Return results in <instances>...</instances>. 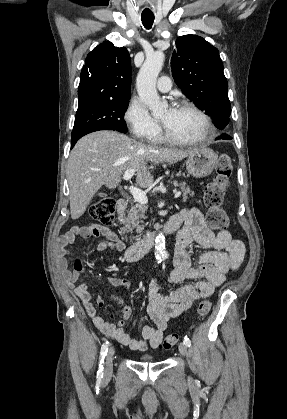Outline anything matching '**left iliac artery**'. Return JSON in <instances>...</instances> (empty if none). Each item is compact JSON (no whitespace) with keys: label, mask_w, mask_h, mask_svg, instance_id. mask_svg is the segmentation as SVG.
<instances>
[{"label":"left iliac artery","mask_w":287,"mask_h":419,"mask_svg":"<svg viewBox=\"0 0 287 419\" xmlns=\"http://www.w3.org/2000/svg\"><path fill=\"white\" fill-rule=\"evenodd\" d=\"M184 343H185L188 347H190V345H191V341H190V339H189L187 336H185V338H184Z\"/></svg>","instance_id":"44dca946"}]
</instances>
